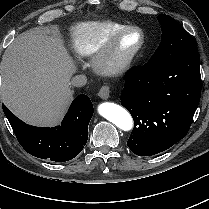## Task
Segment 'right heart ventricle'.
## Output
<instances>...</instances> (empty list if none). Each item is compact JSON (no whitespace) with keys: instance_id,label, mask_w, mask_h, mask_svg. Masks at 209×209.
Listing matches in <instances>:
<instances>
[{"instance_id":"right-heart-ventricle-1","label":"right heart ventricle","mask_w":209,"mask_h":209,"mask_svg":"<svg viewBox=\"0 0 209 209\" xmlns=\"http://www.w3.org/2000/svg\"><path fill=\"white\" fill-rule=\"evenodd\" d=\"M127 26L131 25L113 20L79 23L70 29L71 50L77 57L92 56L114 31Z\"/></svg>"}]
</instances>
